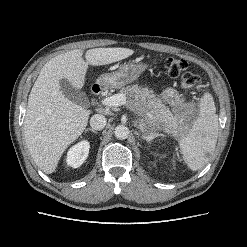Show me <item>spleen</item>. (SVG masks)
<instances>
[{"instance_id":"obj_1","label":"spleen","mask_w":247,"mask_h":247,"mask_svg":"<svg viewBox=\"0 0 247 247\" xmlns=\"http://www.w3.org/2000/svg\"><path fill=\"white\" fill-rule=\"evenodd\" d=\"M199 116L180 140V149L187 166L198 170L205 166L213 153L218 138V115L213 97L206 93L199 104Z\"/></svg>"}]
</instances>
